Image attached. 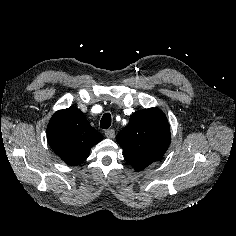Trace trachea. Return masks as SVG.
I'll return each mask as SVG.
<instances>
[{"label": "trachea", "instance_id": "3493384b", "mask_svg": "<svg viewBox=\"0 0 236 236\" xmlns=\"http://www.w3.org/2000/svg\"><path fill=\"white\" fill-rule=\"evenodd\" d=\"M112 118L110 113H105L100 121V127L102 129H108L111 126Z\"/></svg>", "mask_w": 236, "mask_h": 236}]
</instances>
